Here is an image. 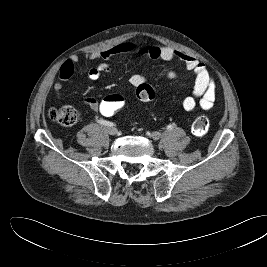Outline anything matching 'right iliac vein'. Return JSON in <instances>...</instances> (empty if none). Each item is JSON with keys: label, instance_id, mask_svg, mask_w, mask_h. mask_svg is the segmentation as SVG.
Wrapping results in <instances>:
<instances>
[{"label": "right iliac vein", "instance_id": "obj_1", "mask_svg": "<svg viewBox=\"0 0 267 267\" xmlns=\"http://www.w3.org/2000/svg\"><path fill=\"white\" fill-rule=\"evenodd\" d=\"M106 132L109 135H116L117 134V129L115 127H107Z\"/></svg>", "mask_w": 267, "mask_h": 267}]
</instances>
